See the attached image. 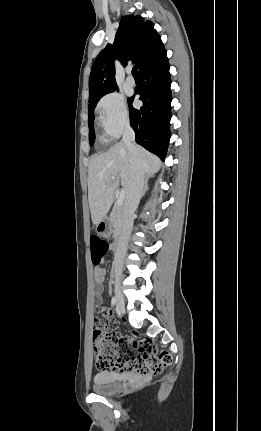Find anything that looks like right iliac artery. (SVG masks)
<instances>
[{
  "label": "right iliac artery",
  "instance_id": "right-iliac-artery-1",
  "mask_svg": "<svg viewBox=\"0 0 261 431\" xmlns=\"http://www.w3.org/2000/svg\"><path fill=\"white\" fill-rule=\"evenodd\" d=\"M111 303H112V305H113V306L115 305V303H116V299H115V297H113V298H112Z\"/></svg>",
  "mask_w": 261,
  "mask_h": 431
}]
</instances>
